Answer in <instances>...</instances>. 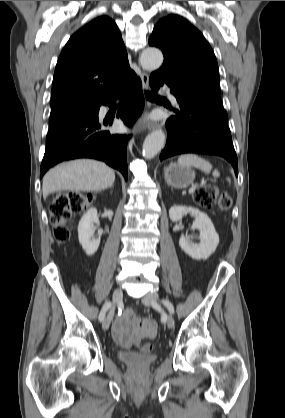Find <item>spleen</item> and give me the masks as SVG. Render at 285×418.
Listing matches in <instances>:
<instances>
[{
  "label": "spleen",
  "instance_id": "obj_1",
  "mask_svg": "<svg viewBox=\"0 0 285 418\" xmlns=\"http://www.w3.org/2000/svg\"><path fill=\"white\" fill-rule=\"evenodd\" d=\"M177 164L184 167H195L205 173H210L212 165L210 162L196 154H184L178 158ZM220 175L218 170L213 171V176L218 177ZM230 181L229 178H227Z\"/></svg>",
  "mask_w": 285,
  "mask_h": 418
}]
</instances>
